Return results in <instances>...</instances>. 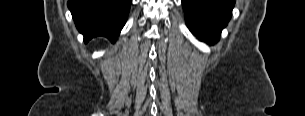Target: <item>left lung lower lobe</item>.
I'll return each mask as SVG.
<instances>
[{
    "label": "left lung lower lobe",
    "mask_w": 305,
    "mask_h": 116,
    "mask_svg": "<svg viewBox=\"0 0 305 116\" xmlns=\"http://www.w3.org/2000/svg\"><path fill=\"white\" fill-rule=\"evenodd\" d=\"M234 0H182L189 30L198 38L215 40L228 24Z\"/></svg>",
    "instance_id": "0a47b994"
}]
</instances>
